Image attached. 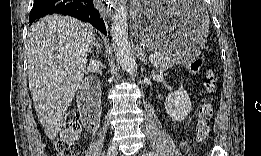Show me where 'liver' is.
Masks as SVG:
<instances>
[{"instance_id": "6515ba94", "label": "liver", "mask_w": 261, "mask_h": 156, "mask_svg": "<svg viewBox=\"0 0 261 156\" xmlns=\"http://www.w3.org/2000/svg\"><path fill=\"white\" fill-rule=\"evenodd\" d=\"M94 28L73 17L50 15L28 32L29 88L47 137L54 140L81 84Z\"/></svg>"}]
</instances>
